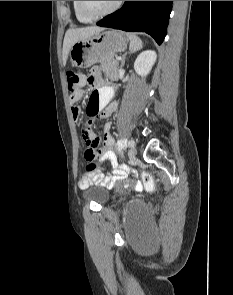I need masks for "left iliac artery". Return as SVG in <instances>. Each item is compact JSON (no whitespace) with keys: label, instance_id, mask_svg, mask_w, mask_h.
Returning a JSON list of instances; mask_svg holds the SVG:
<instances>
[{"label":"left iliac artery","instance_id":"obj_1","mask_svg":"<svg viewBox=\"0 0 233 295\" xmlns=\"http://www.w3.org/2000/svg\"><path fill=\"white\" fill-rule=\"evenodd\" d=\"M133 141L132 140H127V145H132Z\"/></svg>","mask_w":233,"mask_h":295}]
</instances>
